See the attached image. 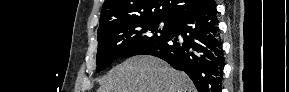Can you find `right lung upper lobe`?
Wrapping results in <instances>:
<instances>
[{
  "label": "right lung upper lobe",
  "mask_w": 289,
  "mask_h": 92,
  "mask_svg": "<svg viewBox=\"0 0 289 92\" xmlns=\"http://www.w3.org/2000/svg\"><path fill=\"white\" fill-rule=\"evenodd\" d=\"M212 2L213 0H105L98 32L122 21L147 18L172 21Z\"/></svg>",
  "instance_id": "1"
}]
</instances>
